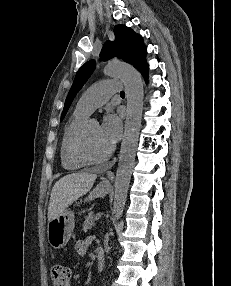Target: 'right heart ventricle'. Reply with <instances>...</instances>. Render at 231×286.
<instances>
[{"label":"right heart ventricle","mask_w":231,"mask_h":286,"mask_svg":"<svg viewBox=\"0 0 231 286\" xmlns=\"http://www.w3.org/2000/svg\"><path fill=\"white\" fill-rule=\"evenodd\" d=\"M88 115L89 113L86 111L76 108L64 127L60 143V161L62 167L66 170L75 171L84 166L73 156L72 145L78 130L87 120Z\"/></svg>","instance_id":"1"}]
</instances>
